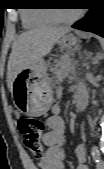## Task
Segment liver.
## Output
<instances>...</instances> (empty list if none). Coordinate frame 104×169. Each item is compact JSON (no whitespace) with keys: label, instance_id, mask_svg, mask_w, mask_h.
<instances>
[{"label":"liver","instance_id":"obj_1","mask_svg":"<svg viewBox=\"0 0 104 169\" xmlns=\"http://www.w3.org/2000/svg\"><path fill=\"white\" fill-rule=\"evenodd\" d=\"M70 30L71 28L64 26L39 27L20 34L12 44L8 60V89L11 91L14 79L22 70L35 66Z\"/></svg>","mask_w":104,"mask_h":169}]
</instances>
